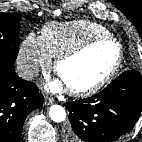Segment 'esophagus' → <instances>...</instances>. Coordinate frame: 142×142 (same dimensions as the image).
<instances>
[{"instance_id":"34e87169","label":"esophagus","mask_w":142,"mask_h":142,"mask_svg":"<svg viewBox=\"0 0 142 142\" xmlns=\"http://www.w3.org/2000/svg\"><path fill=\"white\" fill-rule=\"evenodd\" d=\"M44 103L45 105H52L54 104V100L52 98L46 97Z\"/></svg>"}]
</instances>
